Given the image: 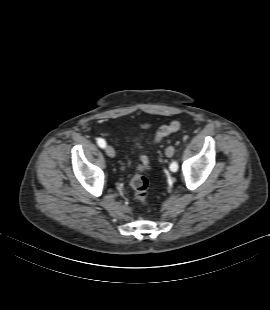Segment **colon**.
Listing matches in <instances>:
<instances>
[{
	"instance_id": "obj_1",
	"label": "colon",
	"mask_w": 270,
	"mask_h": 310,
	"mask_svg": "<svg viewBox=\"0 0 270 310\" xmlns=\"http://www.w3.org/2000/svg\"><path fill=\"white\" fill-rule=\"evenodd\" d=\"M180 126L181 123L180 121L177 120L162 126L157 131L155 140L157 142L161 141L166 136L178 131L180 129ZM149 169H150L149 159L144 155L140 156L137 163V173L131 180V187L134 191V197L141 205L144 206L148 204V188H149V182L144 173Z\"/></svg>"
}]
</instances>
